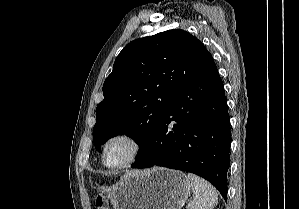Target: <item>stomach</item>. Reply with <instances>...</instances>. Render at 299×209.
Here are the masks:
<instances>
[{
  "label": "stomach",
  "mask_w": 299,
  "mask_h": 209,
  "mask_svg": "<svg viewBox=\"0 0 299 209\" xmlns=\"http://www.w3.org/2000/svg\"><path fill=\"white\" fill-rule=\"evenodd\" d=\"M95 188L114 209H181L190 194L183 172L161 167L129 172L113 186Z\"/></svg>",
  "instance_id": "1"
}]
</instances>
